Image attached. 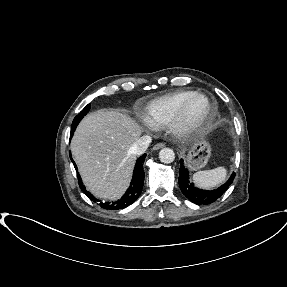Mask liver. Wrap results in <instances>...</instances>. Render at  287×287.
Segmentation results:
<instances>
[{
  "label": "liver",
  "mask_w": 287,
  "mask_h": 287,
  "mask_svg": "<svg viewBox=\"0 0 287 287\" xmlns=\"http://www.w3.org/2000/svg\"><path fill=\"white\" fill-rule=\"evenodd\" d=\"M142 128L128 114L98 110L78 125L71 151L87 189L96 197L119 199L128 188L136 155L131 146Z\"/></svg>",
  "instance_id": "6515ba94"
}]
</instances>
